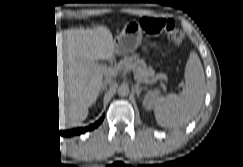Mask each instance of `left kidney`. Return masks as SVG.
Instances as JSON below:
<instances>
[{
  "label": "left kidney",
  "instance_id": "1",
  "mask_svg": "<svg viewBox=\"0 0 243 167\" xmlns=\"http://www.w3.org/2000/svg\"><path fill=\"white\" fill-rule=\"evenodd\" d=\"M157 95H158V93L156 91L148 92L145 96L144 105L147 108H149V106L151 104H153L156 101V99L158 98Z\"/></svg>",
  "mask_w": 243,
  "mask_h": 167
}]
</instances>
